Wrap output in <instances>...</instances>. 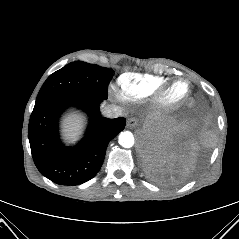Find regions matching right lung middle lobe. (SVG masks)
Returning <instances> with one entry per match:
<instances>
[{"instance_id": "dd1d6c3e", "label": "right lung middle lobe", "mask_w": 239, "mask_h": 239, "mask_svg": "<svg viewBox=\"0 0 239 239\" xmlns=\"http://www.w3.org/2000/svg\"><path fill=\"white\" fill-rule=\"evenodd\" d=\"M113 72L95 64L72 62L47 78L37 100L56 94H84L107 99Z\"/></svg>"}]
</instances>
